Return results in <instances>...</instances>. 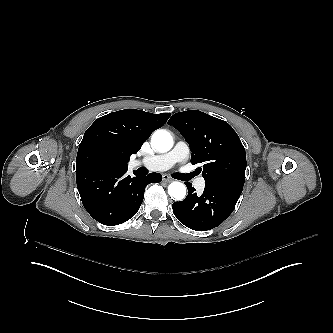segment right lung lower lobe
<instances>
[{"mask_svg": "<svg viewBox=\"0 0 333 333\" xmlns=\"http://www.w3.org/2000/svg\"><path fill=\"white\" fill-rule=\"evenodd\" d=\"M127 169L76 170L77 188L82 203L87 212L101 224L114 226L132 218L143 201L145 187L162 180L158 173L147 176L134 173L135 177L126 176Z\"/></svg>", "mask_w": 333, "mask_h": 333, "instance_id": "right-lung-lower-lobe-1", "label": "right lung lower lobe"}]
</instances>
